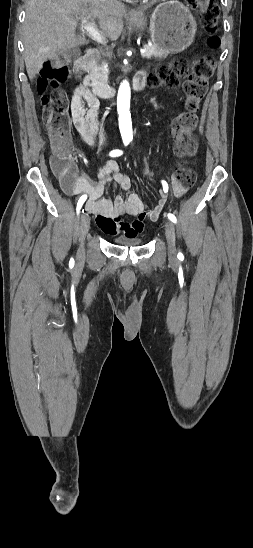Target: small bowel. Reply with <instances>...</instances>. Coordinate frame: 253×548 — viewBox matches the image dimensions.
I'll return each instance as SVG.
<instances>
[{"mask_svg":"<svg viewBox=\"0 0 253 548\" xmlns=\"http://www.w3.org/2000/svg\"><path fill=\"white\" fill-rule=\"evenodd\" d=\"M151 103L154 107L157 106L154 99H151ZM71 115L75 129L89 147L93 148L96 141L106 145L105 133L99 120V101L87 88L77 86L73 90ZM95 176L96 181H93L88 174L80 173L75 166L73 176L67 181L60 180V183L66 194L88 196L86 210L95 215L98 227L106 234L137 236L144 231L146 217L156 220L166 204L167 200L162 198L153 210H147L139 195L131 191L130 178L119 170L114 159H108L104 166L96 170ZM111 184L118 187L123 195H117L112 200L106 198L105 192ZM170 188L176 198L187 191V187L174 176L171 178ZM125 214L135 216L136 219L126 223L120 219Z\"/></svg>","mask_w":253,"mask_h":548,"instance_id":"obj_1","label":"small bowel"}]
</instances>
